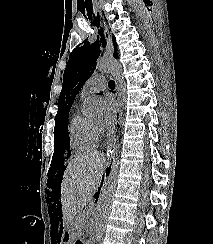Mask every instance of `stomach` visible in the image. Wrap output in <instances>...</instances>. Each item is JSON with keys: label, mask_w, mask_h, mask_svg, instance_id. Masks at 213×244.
Returning <instances> with one entry per match:
<instances>
[{"label": "stomach", "mask_w": 213, "mask_h": 244, "mask_svg": "<svg viewBox=\"0 0 213 244\" xmlns=\"http://www.w3.org/2000/svg\"><path fill=\"white\" fill-rule=\"evenodd\" d=\"M63 227L66 230V234H64V239H61V244H72V239H77V234H79L76 221H66V223L63 224Z\"/></svg>", "instance_id": "stomach-1"}]
</instances>
